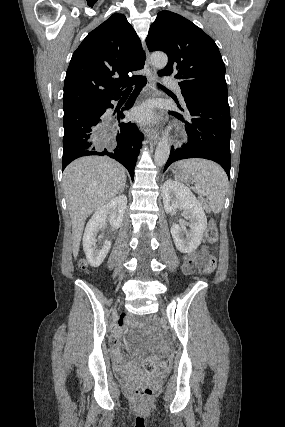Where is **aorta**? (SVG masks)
Instances as JSON below:
<instances>
[{"label": "aorta", "mask_w": 285, "mask_h": 427, "mask_svg": "<svg viewBox=\"0 0 285 427\" xmlns=\"http://www.w3.org/2000/svg\"><path fill=\"white\" fill-rule=\"evenodd\" d=\"M168 57L165 53L155 52L151 55V63L152 65L158 69H164L167 65ZM170 155V144L168 140V133H164L162 138L160 139L154 156V162L157 166H163L166 164Z\"/></svg>", "instance_id": "aorta-1"}]
</instances>
